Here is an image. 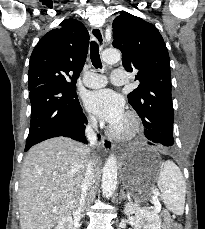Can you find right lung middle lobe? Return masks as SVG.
<instances>
[{
  "label": "right lung middle lobe",
  "mask_w": 205,
  "mask_h": 229,
  "mask_svg": "<svg viewBox=\"0 0 205 229\" xmlns=\"http://www.w3.org/2000/svg\"><path fill=\"white\" fill-rule=\"evenodd\" d=\"M56 81H57L58 84H61V85H64L66 87H70V88L76 89V86H75L76 82L71 81V80H69V79H67L65 77L64 78H57Z\"/></svg>",
  "instance_id": "right-lung-middle-lobe-1"
}]
</instances>
